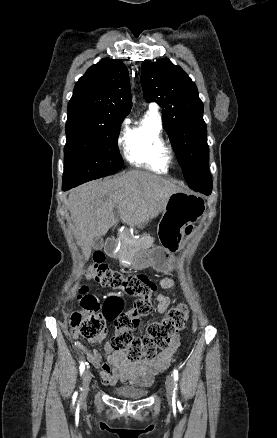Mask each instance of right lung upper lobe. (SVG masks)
<instances>
[{"instance_id":"1","label":"right lung upper lobe","mask_w":277,"mask_h":438,"mask_svg":"<svg viewBox=\"0 0 277 438\" xmlns=\"http://www.w3.org/2000/svg\"><path fill=\"white\" fill-rule=\"evenodd\" d=\"M127 67L113 59L91 66L75 84L67 120L121 122L132 107Z\"/></svg>"}]
</instances>
